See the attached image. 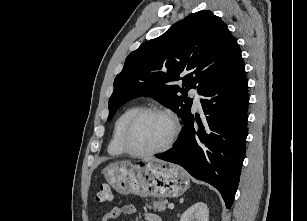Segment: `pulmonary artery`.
Segmentation results:
<instances>
[{
    "label": "pulmonary artery",
    "mask_w": 307,
    "mask_h": 221,
    "mask_svg": "<svg viewBox=\"0 0 307 221\" xmlns=\"http://www.w3.org/2000/svg\"><path fill=\"white\" fill-rule=\"evenodd\" d=\"M190 93L194 96V104L196 107H200L201 95L199 91L195 88L191 89Z\"/></svg>",
    "instance_id": "pulmonary-artery-1"
}]
</instances>
